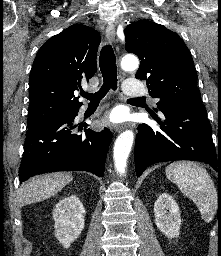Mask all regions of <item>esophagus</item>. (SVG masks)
<instances>
[{"label":"esophagus","mask_w":221,"mask_h":256,"mask_svg":"<svg viewBox=\"0 0 221 256\" xmlns=\"http://www.w3.org/2000/svg\"><path fill=\"white\" fill-rule=\"evenodd\" d=\"M105 33H106V37H107L108 41L111 42V43H115L116 33H115V27H114L113 24H109L106 27V32ZM127 127H134V124L127 123V124H122V125H115L113 129L116 132H121L123 129H125Z\"/></svg>","instance_id":"34e87169"}]
</instances>
